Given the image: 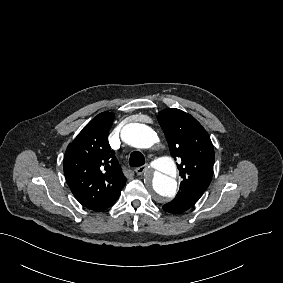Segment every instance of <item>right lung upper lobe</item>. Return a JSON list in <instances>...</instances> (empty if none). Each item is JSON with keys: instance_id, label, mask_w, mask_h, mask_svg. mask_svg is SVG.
Masks as SVG:
<instances>
[{"instance_id": "1", "label": "right lung upper lobe", "mask_w": 283, "mask_h": 283, "mask_svg": "<svg viewBox=\"0 0 283 283\" xmlns=\"http://www.w3.org/2000/svg\"><path fill=\"white\" fill-rule=\"evenodd\" d=\"M113 112L93 118L67 147L64 156L66 181L85 208L103 211L114 205L126 178L108 143Z\"/></svg>"}]
</instances>
